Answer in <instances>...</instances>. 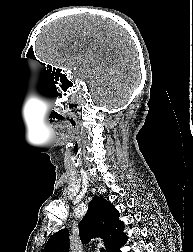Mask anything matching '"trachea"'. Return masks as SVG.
<instances>
[{"label": "trachea", "instance_id": "3493384b", "mask_svg": "<svg viewBox=\"0 0 193 252\" xmlns=\"http://www.w3.org/2000/svg\"><path fill=\"white\" fill-rule=\"evenodd\" d=\"M101 252H105V249H104V248H101Z\"/></svg>", "mask_w": 193, "mask_h": 252}]
</instances>
